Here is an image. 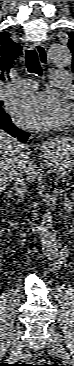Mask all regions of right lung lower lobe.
<instances>
[{
  "instance_id": "98d812e1",
  "label": "right lung lower lobe",
  "mask_w": 74,
  "mask_h": 366,
  "mask_svg": "<svg viewBox=\"0 0 74 366\" xmlns=\"http://www.w3.org/2000/svg\"><path fill=\"white\" fill-rule=\"evenodd\" d=\"M0 129L6 130L10 135L13 137H18V139L24 143L27 141L30 135L28 132H24L15 127L7 114L0 117Z\"/></svg>"
}]
</instances>
